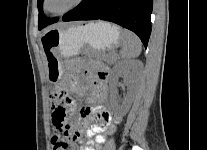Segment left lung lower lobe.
<instances>
[{"label":"left lung lower lobe","instance_id":"left-lung-lower-lobe-1","mask_svg":"<svg viewBox=\"0 0 207 150\" xmlns=\"http://www.w3.org/2000/svg\"><path fill=\"white\" fill-rule=\"evenodd\" d=\"M152 0H83L61 20H106L135 32L147 47L151 33Z\"/></svg>","mask_w":207,"mask_h":150}]
</instances>
